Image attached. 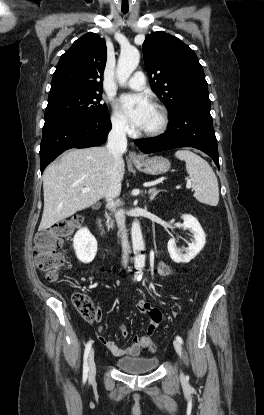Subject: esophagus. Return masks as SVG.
Masks as SVG:
<instances>
[{"mask_svg":"<svg viewBox=\"0 0 264 415\" xmlns=\"http://www.w3.org/2000/svg\"><path fill=\"white\" fill-rule=\"evenodd\" d=\"M129 159H130L132 162H138V161L140 160V156H139V154H138L137 152H135V151H130V152H129Z\"/></svg>","mask_w":264,"mask_h":415,"instance_id":"1","label":"esophagus"}]
</instances>
